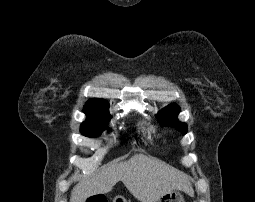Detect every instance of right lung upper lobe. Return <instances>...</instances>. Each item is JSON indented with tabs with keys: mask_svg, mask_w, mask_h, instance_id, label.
Returning <instances> with one entry per match:
<instances>
[{
	"mask_svg": "<svg viewBox=\"0 0 255 202\" xmlns=\"http://www.w3.org/2000/svg\"><path fill=\"white\" fill-rule=\"evenodd\" d=\"M109 104L104 99H90L84 106V113L87 119H105L109 115Z\"/></svg>",
	"mask_w": 255,
	"mask_h": 202,
	"instance_id": "cb5924a9",
	"label": "right lung upper lobe"
}]
</instances>
